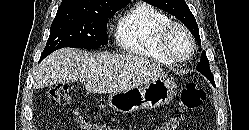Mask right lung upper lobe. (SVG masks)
I'll list each match as a JSON object with an SVG mask.
<instances>
[{
  "label": "right lung upper lobe",
  "instance_id": "right-lung-upper-lobe-1",
  "mask_svg": "<svg viewBox=\"0 0 249 130\" xmlns=\"http://www.w3.org/2000/svg\"><path fill=\"white\" fill-rule=\"evenodd\" d=\"M130 0H63L60 7L97 11L114 4L129 3Z\"/></svg>",
  "mask_w": 249,
  "mask_h": 130
}]
</instances>
